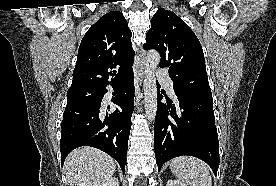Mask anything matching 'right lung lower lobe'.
I'll list each match as a JSON object with an SVG mask.
<instances>
[{"mask_svg":"<svg viewBox=\"0 0 276 186\" xmlns=\"http://www.w3.org/2000/svg\"><path fill=\"white\" fill-rule=\"evenodd\" d=\"M133 71L118 83L110 84L118 90L112 101L118 108L105 115L101 110L106 87L85 100L67 103L61 124V165L75 148L91 146L113 157L125 173L131 116L134 109Z\"/></svg>","mask_w":276,"mask_h":186,"instance_id":"98d812e1","label":"right lung lower lobe"}]
</instances>
